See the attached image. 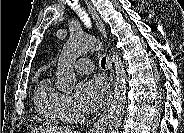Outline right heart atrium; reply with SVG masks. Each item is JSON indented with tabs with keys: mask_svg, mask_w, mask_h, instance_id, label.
Returning <instances> with one entry per match:
<instances>
[{
	"mask_svg": "<svg viewBox=\"0 0 184 133\" xmlns=\"http://www.w3.org/2000/svg\"><path fill=\"white\" fill-rule=\"evenodd\" d=\"M62 114L64 119H72L75 116V108L73 106V103L71 99L68 96H63L62 97Z\"/></svg>",
	"mask_w": 184,
	"mask_h": 133,
	"instance_id": "obj_1",
	"label": "right heart atrium"
}]
</instances>
